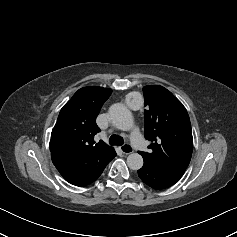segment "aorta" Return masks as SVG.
<instances>
[{"instance_id":"aorta-1","label":"aorta","mask_w":237,"mask_h":237,"mask_svg":"<svg viewBox=\"0 0 237 237\" xmlns=\"http://www.w3.org/2000/svg\"><path fill=\"white\" fill-rule=\"evenodd\" d=\"M112 124L123 131L130 130L133 126V117L129 109L121 103L113 104L109 109ZM144 164L139 153H131L127 157V165L132 170H139Z\"/></svg>"}]
</instances>
